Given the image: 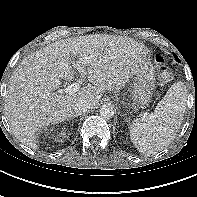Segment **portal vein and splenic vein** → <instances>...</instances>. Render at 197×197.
<instances>
[{
    "label": "portal vein and splenic vein",
    "mask_w": 197,
    "mask_h": 197,
    "mask_svg": "<svg viewBox=\"0 0 197 197\" xmlns=\"http://www.w3.org/2000/svg\"><path fill=\"white\" fill-rule=\"evenodd\" d=\"M90 57H82L80 58L76 63L73 64V67L76 68L80 74L81 79H79L77 82L72 83L71 85L67 86L66 88L62 89L61 91L63 93L72 95L79 91L81 84L84 81L85 76L87 75V72L85 71L84 67H82V64L88 62Z\"/></svg>",
    "instance_id": "18ae733b"
}]
</instances>
